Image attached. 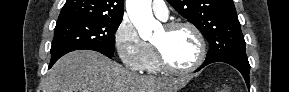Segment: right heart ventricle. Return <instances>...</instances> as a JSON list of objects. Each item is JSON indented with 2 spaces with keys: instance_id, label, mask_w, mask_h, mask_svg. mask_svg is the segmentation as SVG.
Listing matches in <instances>:
<instances>
[{
  "instance_id": "e07e8e85",
  "label": "right heart ventricle",
  "mask_w": 289,
  "mask_h": 92,
  "mask_svg": "<svg viewBox=\"0 0 289 92\" xmlns=\"http://www.w3.org/2000/svg\"><path fill=\"white\" fill-rule=\"evenodd\" d=\"M146 69L150 72H157V71H160V69H161L159 64H158L154 50H153L152 56H151V58L147 64Z\"/></svg>"
}]
</instances>
